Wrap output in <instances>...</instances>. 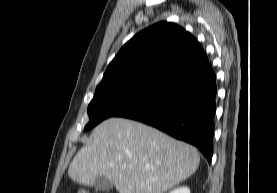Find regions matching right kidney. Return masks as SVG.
<instances>
[{
  "mask_svg": "<svg viewBox=\"0 0 277 193\" xmlns=\"http://www.w3.org/2000/svg\"><path fill=\"white\" fill-rule=\"evenodd\" d=\"M169 193H190V190L188 187L183 186V187L174 189V190L170 191Z\"/></svg>",
  "mask_w": 277,
  "mask_h": 193,
  "instance_id": "obj_1",
  "label": "right kidney"
}]
</instances>
